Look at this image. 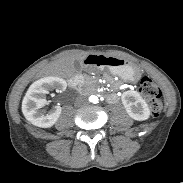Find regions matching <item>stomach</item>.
Returning <instances> with one entry per match:
<instances>
[{
  "mask_svg": "<svg viewBox=\"0 0 183 183\" xmlns=\"http://www.w3.org/2000/svg\"><path fill=\"white\" fill-rule=\"evenodd\" d=\"M100 68L108 69L113 75L121 76L129 81H137L141 75L139 67L126 60L114 56L102 55L99 62Z\"/></svg>",
  "mask_w": 183,
  "mask_h": 183,
  "instance_id": "stomach-1",
  "label": "stomach"
}]
</instances>
